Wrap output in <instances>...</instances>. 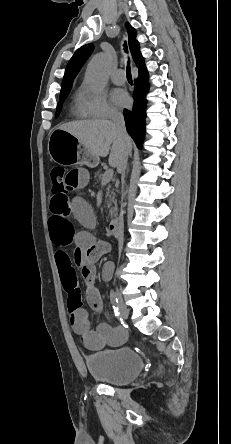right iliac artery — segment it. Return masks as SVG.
Returning a JSON list of instances; mask_svg holds the SVG:
<instances>
[{"mask_svg": "<svg viewBox=\"0 0 231 444\" xmlns=\"http://www.w3.org/2000/svg\"><path fill=\"white\" fill-rule=\"evenodd\" d=\"M110 300H111L112 307L114 309V315L116 317H118L119 316V312H118V299H117L116 294H115V292L113 290H111V292H110Z\"/></svg>", "mask_w": 231, "mask_h": 444, "instance_id": "1", "label": "right iliac artery"}]
</instances>
